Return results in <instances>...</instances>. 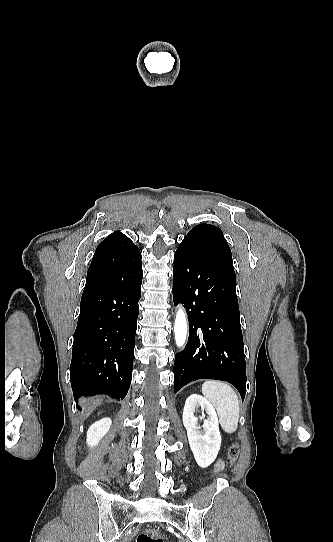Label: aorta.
Returning <instances> with one entry per match:
<instances>
[{"label":"aorta","instance_id":"762f6f07","mask_svg":"<svg viewBox=\"0 0 333 542\" xmlns=\"http://www.w3.org/2000/svg\"><path fill=\"white\" fill-rule=\"evenodd\" d=\"M187 318L183 308H179L176 312L174 322V338L177 348H184L187 340Z\"/></svg>","mask_w":333,"mask_h":542}]
</instances>
